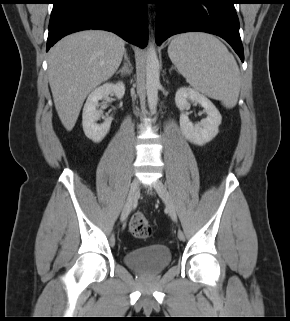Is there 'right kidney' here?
Here are the masks:
<instances>
[{"label": "right kidney", "mask_w": 290, "mask_h": 321, "mask_svg": "<svg viewBox=\"0 0 290 321\" xmlns=\"http://www.w3.org/2000/svg\"><path fill=\"white\" fill-rule=\"evenodd\" d=\"M114 94L118 99L125 94V85L122 81L105 83L94 89L88 96L82 113V126L85 135L94 142H100L109 132L112 117L105 118L102 124H97L101 114L97 110L99 100Z\"/></svg>", "instance_id": "right-kidney-1"}]
</instances>
